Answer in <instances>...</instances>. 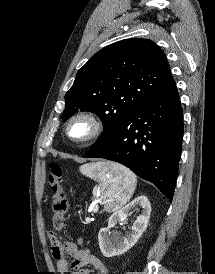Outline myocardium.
Segmentation results:
<instances>
[{
    "mask_svg": "<svg viewBox=\"0 0 215 274\" xmlns=\"http://www.w3.org/2000/svg\"><path fill=\"white\" fill-rule=\"evenodd\" d=\"M79 121L85 122L88 127V133L81 138H74L70 134L71 126ZM104 132V123L95 114L91 112H79L71 116L65 124V135L73 143L87 144L98 139Z\"/></svg>",
    "mask_w": 215,
    "mask_h": 274,
    "instance_id": "myocardium-1",
    "label": "myocardium"
}]
</instances>
